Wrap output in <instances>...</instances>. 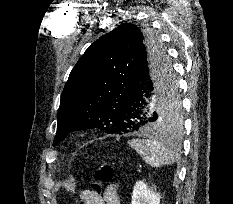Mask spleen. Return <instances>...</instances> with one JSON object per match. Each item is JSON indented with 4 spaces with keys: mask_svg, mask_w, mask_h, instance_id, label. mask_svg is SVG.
I'll return each mask as SVG.
<instances>
[{
    "mask_svg": "<svg viewBox=\"0 0 233 204\" xmlns=\"http://www.w3.org/2000/svg\"><path fill=\"white\" fill-rule=\"evenodd\" d=\"M128 145L135 149L142 159L152 167L172 165L176 161L174 147L156 139H132Z\"/></svg>",
    "mask_w": 233,
    "mask_h": 204,
    "instance_id": "spleen-1",
    "label": "spleen"
}]
</instances>
